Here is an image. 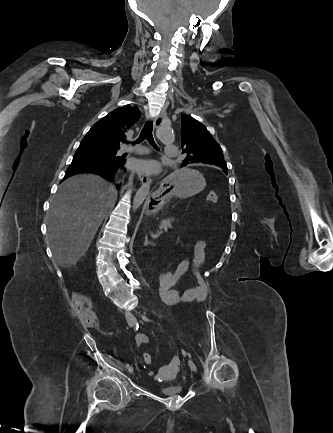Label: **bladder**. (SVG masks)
Listing matches in <instances>:
<instances>
[{"label":"bladder","mask_w":333,"mask_h":433,"mask_svg":"<svg viewBox=\"0 0 333 433\" xmlns=\"http://www.w3.org/2000/svg\"><path fill=\"white\" fill-rule=\"evenodd\" d=\"M183 387L179 384H171L160 389V394L165 397H176L182 394Z\"/></svg>","instance_id":"1"}]
</instances>
